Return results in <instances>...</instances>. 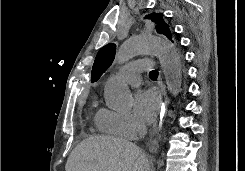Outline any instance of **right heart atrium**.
Returning <instances> with one entry per match:
<instances>
[{"instance_id":"1","label":"right heart atrium","mask_w":245,"mask_h":171,"mask_svg":"<svg viewBox=\"0 0 245 171\" xmlns=\"http://www.w3.org/2000/svg\"><path fill=\"white\" fill-rule=\"evenodd\" d=\"M96 123L99 130L104 133L128 139L134 138L142 128L141 122L132 114L107 109L99 111Z\"/></svg>"}]
</instances>
